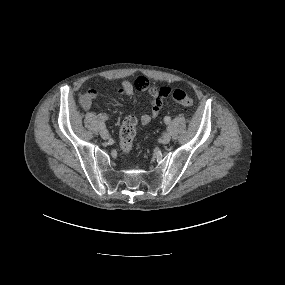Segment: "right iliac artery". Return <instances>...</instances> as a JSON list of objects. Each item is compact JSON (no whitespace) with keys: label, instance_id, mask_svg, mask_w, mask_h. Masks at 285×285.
Segmentation results:
<instances>
[{"label":"right iliac artery","instance_id":"right-iliac-artery-1","mask_svg":"<svg viewBox=\"0 0 285 285\" xmlns=\"http://www.w3.org/2000/svg\"><path fill=\"white\" fill-rule=\"evenodd\" d=\"M99 127H100V129H104L105 125L103 123H100Z\"/></svg>","mask_w":285,"mask_h":285}]
</instances>
